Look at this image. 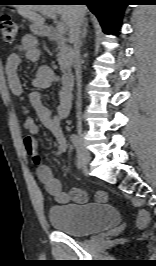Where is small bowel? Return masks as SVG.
<instances>
[{
    "label": "small bowel",
    "instance_id": "1",
    "mask_svg": "<svg viewBox=\"0 0 156 266\" xmlns=\"http://www.w3.org/2000/svg\"><path fill=\"white\" fill-rule=\"evenodd\" d=\"M29 60H36L39 49L35 37L26 35L22 38L19 46ZM21 57L17 53H12L7 57L5 63V75L11 92L21 102V111L25 116L24 128L29 135L23 139V147L26 153L33 159L36 164V173L39 181L44 185L46 191L54 197L55 201L60 204L74 201L76 203H85L88 200L87 194L78 188H73L68 192L62 191L60 181L54 177L50 167L40 161L38 154V143L34 138L39 132V125L29 115V107L24 104L27 100L35 111L39 121L43 126L50 130L57 140L58 147L53 151L54 156H60L66 151L68 143L65 137L62 121L69 115L71 110V95L66 90H61L58 98L57 114L54 116L50 109L43 103L41 94L38 91L25 93L19 77V67ZM55 80L52 70L47 66H41L33 80V85L37 89L48 88ZM39 161L36 162L35 160ZM97 202H106L107 194L99 191L95 195Z\"/></svg>",
    "mask_w": 156,
    "mask_h": 266
}]
</instances>
